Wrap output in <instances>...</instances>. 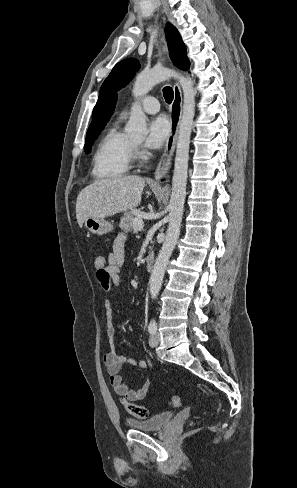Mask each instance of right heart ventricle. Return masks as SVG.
I'll return each instance as SVG.
<instances>
[{
	"label": "right heart ventricle",
	"instance_id": "e07e8e85",
	"mask_svg": "<svg viewBox=\"0 0 297 488\" xmlns=\"http://www.w3.org/2000/svg\"><path fill=\"white\" fill-rule=\"evenodd\" d=\"M133 152L130 138L117 125H112L96 146L92 174L106 180L123 176L130 168Z\"/></svg>",
	"mask_w": 297,
	"mask_h": 488
}]
</instances>
